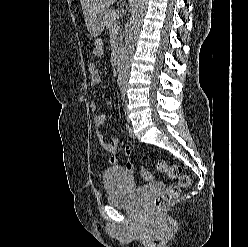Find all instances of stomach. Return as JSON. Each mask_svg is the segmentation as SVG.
<instances>
[{
    "mask_svg": "<svg viewBox=\"0 0 248 247\" xmlns=\"http://www.w3.org/2000/svg\"><path fill=\"white\" fill-rule=\"evenodd\" d=\"M106 13V12H105ZM105 13H102L89 28V32L92 37L99 36L105 27Z\"/></svg>",
    "mask_w": 248,
    "mask_h": 247,
    "instance_id": "stomach-1",
    "label": "stomach"
}]
</instances>
